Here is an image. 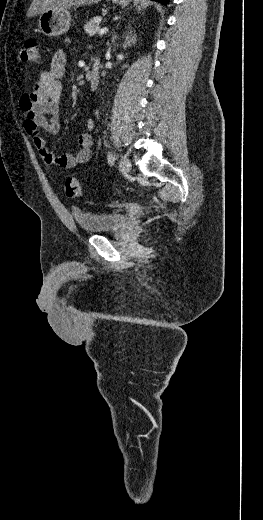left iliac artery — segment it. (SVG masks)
I'll list each match as a JSON object with an SVG mask.
<instances>
[{
    "label": "left iliac artery",
    "mask_w": 263,
    "mask_h": 520,
    "mask_svg": "<svg viewBox=\"0 0 263 520\" xmlns=\"http://www.w3.org/2000/svg\"><path fill=\"white\" fill-rule=\"evenodd\" d=\"M107 159H108V163H109L110 165H113L114 160H115V157H114V155L112 154V152H110V151L108 152V154H107Z\"/></svg>",
    "instance_id": "obj_1"
}]
</instances>
